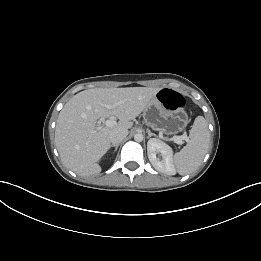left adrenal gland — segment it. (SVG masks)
I'll list each match as a JSON object with an SVG mask.
<instances>
[{
  "instance_id": "obj_1",
  "label": "left adrenal gland",
  "mask_w": 261,
  "mask_h": 261,
  "mask_svg": "<svg viewBox=\"0 0 261 261\" xmlns=\"http://www.w3.org/2000/svg\"><path fill=\"white\" fill-rule=\"evenodd\" d=\"M148 132V138H150L151 136H156L154 133H152L149 129H147Z\"/></svg>"
}]
</instances>
